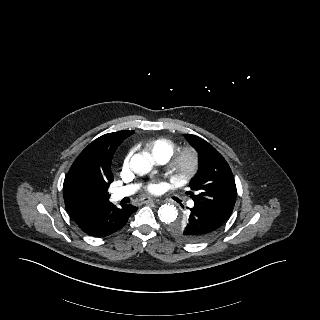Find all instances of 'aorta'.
<instances>
[{
  "instance_id": "762f6f07",
  "label": "aorta",
  "mask_w": 320,
  "mask_h": 320,
  "mask_svg": "<svg viewBox=\"0 0 320 320\" xmlns=\"http://www.w3.org/2000/svg\"><path fill=\"white\" fill-rule=\"evenodd\" d=\"M152 166V163L140 153L134 154L130 160L131 170L139 176L149 173ZM158 216L163 223L169 224L176 220L178 211L174 205L165 204L159 208Z\"/></svg>"
}]
</instances>
